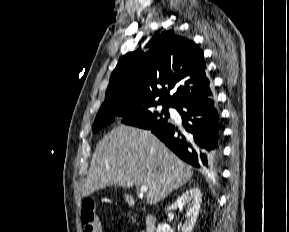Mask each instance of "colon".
<instances>
[{"instance_id":"colon-1","label":"colon","mask_w":289,"mask_h":232,"mask_svg":"<svg viewBox=\"0 0 289 232\" xmlns=\"http://www.w3.org/2000/svg\"><path fill=\"white\" fill-rule=\"evenodd\" d=\"M80 218L83 224V232H101L95 212V203L92 199L84 201Z\"/></svg>"}]
</instances>
